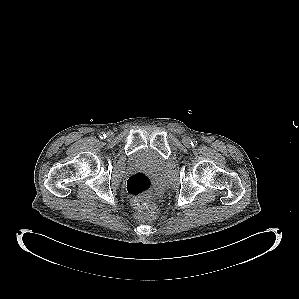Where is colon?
I'll use <instances>...</instances> for the list:
<instances>
[{
	"label": "colon",
	"instance_id": "5ec220e1",
	"mask_svg": "<svg viewBox=\"0 0 299 299\" xmlns=\"http://www.w3.org/2000/svg\"><path fill=\"white\" fill-rule=\"evenodd\" d=\"M126 188L131 196L133 206L142 215H152L155 205L152 201V192L155 188L153 177L145 172H136L129 176Z\"/></svg>",
	"mask_w": 299,
	"mask_h": 299
}]
</instances>
